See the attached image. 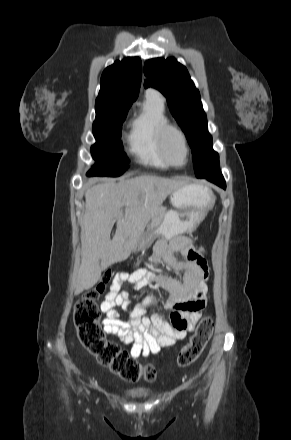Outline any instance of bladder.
Returning a JSON list of instances; mask_svg holds the SVG:
<instances>
[{
  "label": "bladder",
  "mask_w": 291,
  "mask_h": 440,
  "mask_svg": "<svg viewBox=\"0 0 291 440\" xmlns=\"http://www.w3.org/2000/svg\"><path fill=\"white\" fill-rule=\"evenodd\" d=\"M123 393L127 398L131 400L149 398L153 394L151 389L143 387L126 389Z\"/></svg>",
  "instance_id": "31cf9c89"
}]
</instances>
